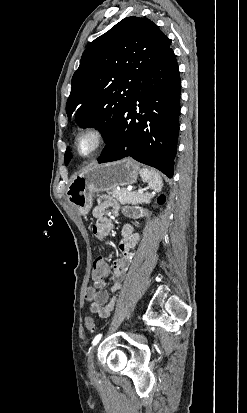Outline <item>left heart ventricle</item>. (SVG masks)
<instances>
[{"mask_svg": "<svg viewBox=\"0 0 247 413\" xmlns=\"http://www.w3.org/2000/svg\"><path fill=\"white\" fill-rule=\"evenodd\" d=\"M96 139L92 135H87L82 138L81 149L84 153H88L95 145Z\"/></svg>", "mask_w": 247, "mask_h": 413, "instance_id": "1", "label": "left heart ventricle"}]
</instances>
